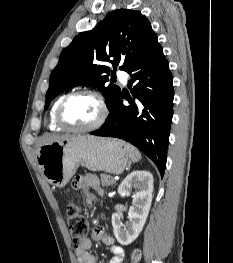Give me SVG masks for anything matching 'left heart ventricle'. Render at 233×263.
<instances>
[{"instance_id":"b2bd125f","label":"left heart ventricle","mask_w":233,"mask_h":263,"mask_svg":"<svg viewBox=\"0 0 233 263\" xmlns=\"http://www.w3.org/2000/svg\"><path fill=\"white\" fill-rule=\"evenodd\" d=\"M100 115L98 102L90 96H78L66 104L63 116L65 121L74 127L92 125Z\"/></svg>"}]
</instances>
